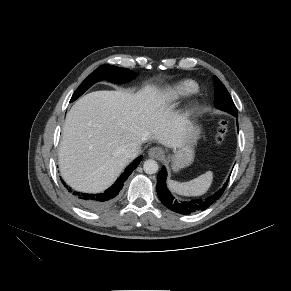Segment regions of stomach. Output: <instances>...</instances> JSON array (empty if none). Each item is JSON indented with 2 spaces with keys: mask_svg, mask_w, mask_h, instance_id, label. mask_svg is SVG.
<instances>
[{
  "mask_svg": "<svg viewBox=\"0 0 291 291\" xmlns=\"http://www.w3.org/2000/svg\"><path fill=\"white\" fill-rule=\"evenodd\" d=\"M200 134V127L190 123L184 142L177 149H174V154L168 156L171 159L173 171L177 172L192 164L195 155L194 147L197 144Z\"/></svg>",
  "mask_w": 291,
  "mask_h": 291,
  "instance_id": "stomach-1",
  "label": "stomach"
}]
</instances>
